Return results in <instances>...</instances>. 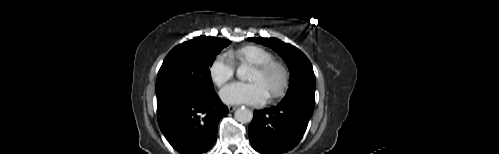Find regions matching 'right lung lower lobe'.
<instances>
[{"label":"right lung lower lobe","mask_w":499,"mask_h":154,"mask_svg":"<svg viewBox=\"0 0 499 154\" xmlns=\"http://www.w3.org/2000/svg\"><path fill=\"white\" fill-rule=\"evenodd\" d=\"M228 109L215 91L195 94L175 91L157 96L159 127L181 154H200L215 143L217 125Z\"/></svg>","instance_id":"98d812e1"}]
</instances>
